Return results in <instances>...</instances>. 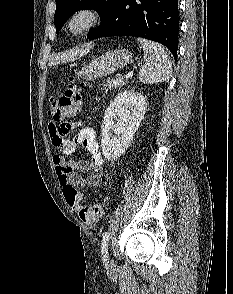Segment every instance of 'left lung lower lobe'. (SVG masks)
Here are the masks:
<instances>
[{
    "mask_svg": "<svg viewBox=\"0 0 233 294\" xmlns=\"http://www.w3.org/2000/svg\"><path fill=\"white\" fill-rule=\"evenodd\" d=\"M178 31V0H116L88 39L142 37L165 45L176 58Z\"/></svg>",
    "mask_w": 233,
    "mask_h": 294,
    "instance_id": "left-lung-lower-lobe-1",
    "label": "left lung lower lobe"
}]
</instances>
